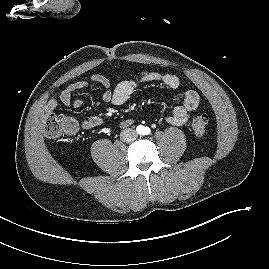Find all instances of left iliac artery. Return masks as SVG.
<instances>
[{"mask_svg":"<svg viewBox=\"0 0 269 269\" xmlns=\"http://www.w3.org/2000/svg\"><path fill=\"white\" fill-rule=\"evenodd\" d=\"M149 133H150V128L145 127V129H144V134L147 135V134H149Z\"/></svg>","mask_w":269,"mask_h":269,"instance_id":"obj_1","label":"left iliac artery"}]
</instances>
